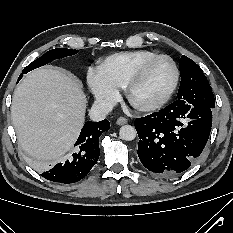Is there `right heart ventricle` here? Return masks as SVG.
<instances>
[{"instance_id": "obj_1", "label": "right heart ventricle", "mask_w": 233, "mask_h": 233, "mask_svg": "<svg viewBox=\"0 0 233 233\" xmlns=\"http://www.w3.org/2000/svg\"><path fill=\"white\" fill-rule=\"evenodd\" d=\"M154 55L155 52L144 49L115 53L105 58L100 69L110 83L123 88L136 67Z\"/></svg>"}]
</instances>
